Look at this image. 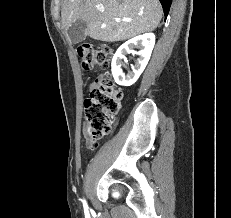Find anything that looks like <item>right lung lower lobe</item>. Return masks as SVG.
Returning a JSON list of instances; mask_svg holds the SVG:
<instances>
[{
	"label": "right lung lower lobe",
	"mask_w": 231,
	"mask_h": 218,
	"mask_svg": "<svg viewBox=\"0 0 231 218\" xmlns=\"http://www.w3.org/2000/svg\"><path fill=\"white\" fill-rule=\"evenodd\" d=\"M159 1H160L161 4H162L165 17H167L168 12H169V9H170V6H171L172 0H159Z\"/></svg>",
	"instance_id": "1"
}]
</instances>
